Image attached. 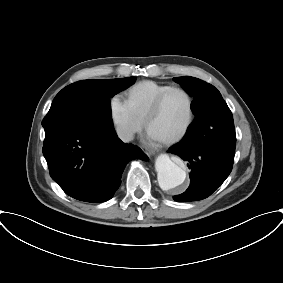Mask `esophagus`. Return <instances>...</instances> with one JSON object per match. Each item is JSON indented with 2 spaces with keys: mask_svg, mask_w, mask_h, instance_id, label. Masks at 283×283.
Segmentation results:
<instances>
[{
  "mask_svg": "<svg viewBox=\"0 0 283 283\" xmlns=\"http://www.w3.org/2000/svg\"><path fill=\"white\" fill-rule=\"evenodd\" d=\"M147 154H148L149 156H151V155L154 154V151H149Z\"/></svg>",
  "mask_w": 283,
  "mask_h": 283,
  "instance_id": "34e87169",
  "label": "esophagus"
}]
</instances>
